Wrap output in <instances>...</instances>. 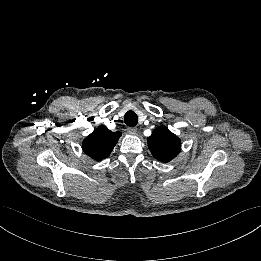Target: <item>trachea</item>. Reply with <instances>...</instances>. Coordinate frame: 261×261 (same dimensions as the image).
I'll return each instance as SVG.
<instances>
[{"mask_svg": "<svg viewBox=\"0 0 261 261\" xmlns=\"http://www.w3.org/2000/svg\"><path fill=\"white\" fill-rule=\"evenodd\" d=\"M124 123L129 127H134L138 123L137 114L134 111H128L124 116Z\"/></svg>", "mask_w": 261, "mask_h": 261, "instance_id": "3493384b", "label": "trachea"}]
</instances>
